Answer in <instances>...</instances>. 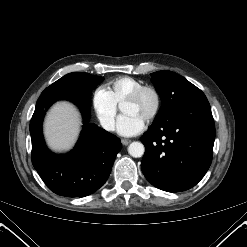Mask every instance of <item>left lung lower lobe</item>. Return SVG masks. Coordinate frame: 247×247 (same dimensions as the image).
<instances>
[{
	"instance_id": "left-lung-lower-lobe-1",
	"label": "left lung lower lobe",
	"mask_w": 247,
	"mask_h": 247,
	"mask_svg": "<svg viewBox=\"0 0 247 247\" xmlns=\"http://www.w3.org/2000/svg\"><path fill=\"white\" fill-rule=\"evenodd\" d=\"M214 140L215 126L208 100L193 102L174 116L154 120L143 134L142 172L161 190H188L209 169Z\"/></svg>"
}]
</instances>
